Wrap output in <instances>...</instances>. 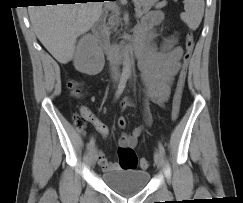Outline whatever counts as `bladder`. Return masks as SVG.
<instances>
[{
    "label": "bladder",
    "instance_id": "1",
    "mask_svg": "<svg viewBox=\"0 0 243 203\" xmlns=\"http://www.w3.org/2000/svg\"><path fill=\"white\" fill-rule=\"evenodd\" d=\"M103 182L121 195H134L141 192L150 180L147 170L117 169L102 174Z\"/></svg>",
    "mask_w": 243,
    "mask_h": 203
}]
</instances>
